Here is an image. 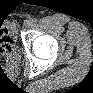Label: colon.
<instances>
[{"instance_id":"5ec220e1","label":"colon","mask_w":93,"mask_h":93,"mask_svg":"<svg viewBox=\"0 0 93 93\" xmlns=\"http://www.w3.org/2000/svg\"><path fill=\"white\" fill-rule=\"evenodd\" d=\"M12 37L10 35V32L8 31H2L1 32V52L4 55H7L9 53V50L12 46Z\"/></svg>"}]
</instances>
